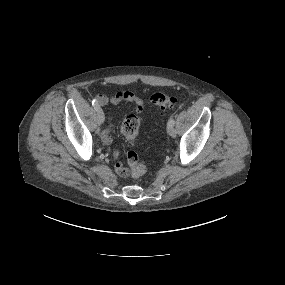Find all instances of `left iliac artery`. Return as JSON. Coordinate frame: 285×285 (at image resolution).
<instances>
[{
  "label": "left iliac artery",
  "instance_id": "1",
  "mask_svg": "<svg viewBox=\"0 0 285 285\" xmlns=\"http://www.w3.org/2000/svg\"><path fill=\"white\" fill-rule=\"evenodd\" d=\"M175 124V120L173 118H171L169 121H168V125H173L174 126Z\"/></svg>",
  "mask_w": 285,
  "mask_h": 285
}]
</instances>
